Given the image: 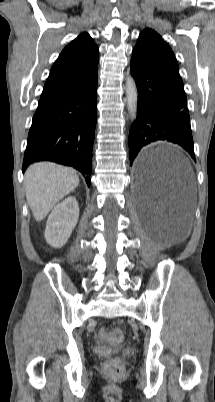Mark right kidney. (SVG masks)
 Listing matches in <instances>:
<instances>
[{
    "instance_id": "ca27d5eb",
    "label": "right kidney",
    "mask_w": 215,
    "mask_h": 402,
    "mask_svg": "<svg viewBox=\"0 0 215 402\" xmlns=\"http://www.w3.org/2000/svg\"><path fill=\"white\" fill-rule=\"evenodd\" d=\"M79 218V206L72 196L57 204L48 217L45 239L55 248L62 247L68 241Z\"/></svg>"
}]
</instances>
